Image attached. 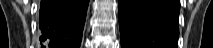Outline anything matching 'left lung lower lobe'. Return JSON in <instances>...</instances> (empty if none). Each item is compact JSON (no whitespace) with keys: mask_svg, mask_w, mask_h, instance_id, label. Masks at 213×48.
Masks as SVG:
<instances>
[{"mask_svg":"<svg viewBox=\"0 0 213 48\" xmlns=\"http://www.w3.org/2000/svg\"><path fill=\"white\" fill-rule=\"evenodd\" d=\"M122 48H177L179 0H118Z\"/></svg>","mask_w":213,"mask_h":48,"instance_id":"0a47b994","label":"left lung lower lobe"}]
</instances>
